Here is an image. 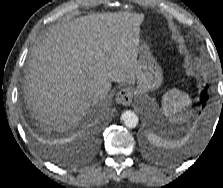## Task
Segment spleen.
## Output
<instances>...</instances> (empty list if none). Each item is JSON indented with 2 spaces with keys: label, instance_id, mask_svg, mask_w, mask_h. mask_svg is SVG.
I'll return each mask as SVG.
<instances>
[{
  "label": "spleen",
  "instance_id": "3e777b00",
  "mask_svg": "<svg viewBox=\"0 0 223 188\" xmlns=\"http://www.w3.org/2000/svg\"><path fill=\"white\" fill-rule=\"evenodd\" d=\"M162 103V111L167 118L175 122H184L186 120L182 111L191 104L187 94L177 89L171 90L163 95Z\"/></svg>",
  "mask_w": 223,
  "mask_h": 188
}]
</instances>
